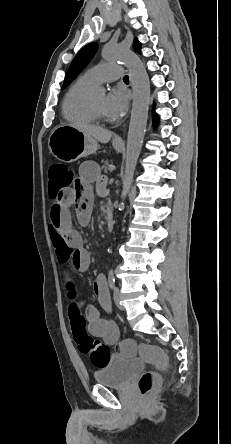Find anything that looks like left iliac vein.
Returning a JSON list of instances; mask_svg holds the SVG:
<instances>
[{
    "label": "left iliac vein",
    "instance_id": "4c4485c4",
    "mask_svg": "<svg viewBox=\"0 0 231 444\" xmlns=\"http://www.w3.org/2000/svg\"><path fill=\"white\" fill-rule=\"evenodd\" d=\"M114 301L116 306L120 309V310H125L124 306L120 303L121 301V292L119 290L118 287L114 288Z\"/></svg>",
    "mask_w": 231,
    "mask_h": 444
}]
</instances>
